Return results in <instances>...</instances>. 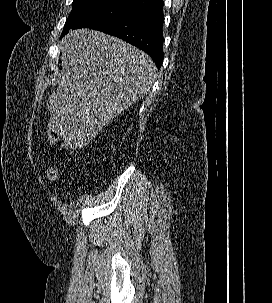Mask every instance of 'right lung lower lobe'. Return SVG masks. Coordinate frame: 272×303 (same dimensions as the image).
Masks as SVG:
<instances>
[{
  "label": "right lung lower lobe",
  "mask_w": 272,
  "mask_h": 303,
  "mask_svg": "<svg viewBox=\"0 0 272 303\" xmlns=\"http://www.w3.org/2000/svg\"><path fill=\"white\" fill-rule=\"evenodd\" d=\"M163 21V0H161L90 28L121 38L143 50L151 56L159 69L163 62Z\"/></svg>",
  "instance_id": "98d812e1"
}]
</instances>
